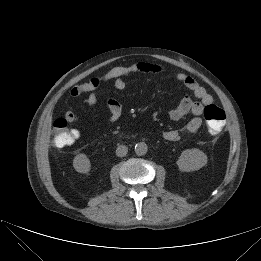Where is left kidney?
<instances>
[{
  "mask_svg": "<svg viewBox=\"0 0 261 261\" xmlns=\"http://www.w3.org/2000/svg\"><path fill=\"white\" fill-rule=\"evenodd\" d=\"M207 159V155L197 148L186 149L177 160V165L180 171L190 172L199 170L205 166L208 161Z\"/></svg>",
  "mask_w": 261,
  "mask_h": 261,
  "instance_id": "1",
  "label": "left kidney"
}]
</instances>
